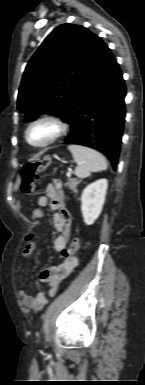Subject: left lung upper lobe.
I'll list each match as a JSON object with an SVG mask.
<instances>
[{"mask_svg":"<svg viewBox=\"0 0 145 385\" xmlns=\"http://www.w3.org/2000/svg\"><path fill=\"white\" fill-rule=\"evenodd\" d=\"M97 40L74 24H62L47 36L28 62L19 89L17 107L26 113L25 122L44 113L69 120Z\"/></svg>","mask_w":145,"mask_h":385,"instance_id":"5c2ea615","label":"left lung upper lobe"}]
</instances>
